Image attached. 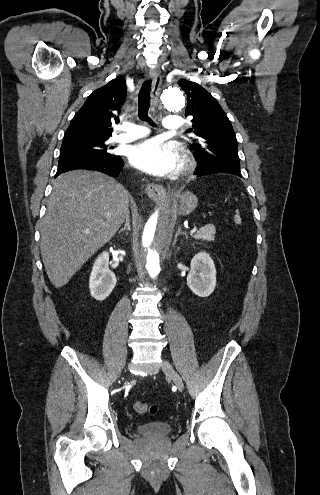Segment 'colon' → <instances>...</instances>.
I'll return each instance as SVG.
<instances>
[{"mask_svg": "<svg viewBox=\"0 0 320 495\" xmlns=\"http://www.w3.org/2000/svg\"><path fill=\"white\" fill-rule=\"evenodd\" d=\"M133 407L138 414L155 415L157 413V406L154 404H148L145 402H135Z\"/></svg>", "mask_w": 320, "mask_h": 495, "instance_id": "obj_1", "label": "colon"}]
</instances>
